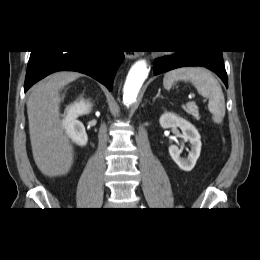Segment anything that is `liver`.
<instances>
[{
  "label": "liver",
  "instance_id": "1",
  "mask_svg": "<svg viewBox=\"0 0 260 260\" xmlns=\"http://www.w3.org/2000/svg\"><path fill=\"white\" fill-rule=\"evenodd\" d=\"M80 76L70 71L54 73L33 88L27 101L33 158L50 177L65 175L73 164V147L60 124L59 91Z\"/></svg>",
  "mask_w": 260,
  "mask_h": 260
}]
</instances>
